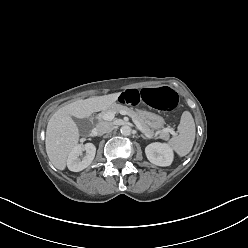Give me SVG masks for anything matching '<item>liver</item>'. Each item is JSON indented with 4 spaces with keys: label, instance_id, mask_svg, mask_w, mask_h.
<instances>
[{
    "label": "liver",
    "instance_id": "liver-1",
    "mask_svg": "<svg viewBox=\"0 0 248 248\" xmlns=\"http://www.w3.org/2000/svg\"><path fill=\"white\" fill-rule=\"evenodd\" d=\"M119 95L112 93L77 100L53 114L47 125L45 145L49 160L57 169L66 168L67 157L79 141V129L72 117L83 119L105 110L115 103Z\"/></svg>",
    "mask_w": 248,
    "mask_h": 248
}]
</instances>
